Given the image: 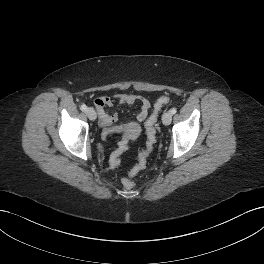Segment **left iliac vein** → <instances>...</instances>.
I'll return each instance as SVG.
<instances>
[{
  "label": "left iliac vein",
  "instance_id": "left-iliac-vein-1",
  "mask_svg": "<svg viewBox=\"0 0 264 264\" xmlns=\"http://www.w3.org/2000/svg\"><path fill=\"white\" fill-rule=\"evenodd\" d=\"M172 121V113L171 111H167L162 116V122L164 125H169Z\"/></svg>",
  "mask_w": 264,
  "mask_h": 264
}]
</instances>
